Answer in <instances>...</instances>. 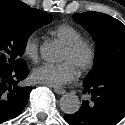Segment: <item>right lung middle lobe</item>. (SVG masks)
I'll return each mask as SVG.
<instances>
[{
  "label": "right lung middle lobe",
  "instance_id": "obj_1",
  "mask_svg": "<svg viewBox=\"0 0 125 125\" xmlns=\"http://www.w3.org/2000/svg\"><path fill=\"white\" fill-rule=\"evenodd\" d=\"M52 20V15L44 12H41L36 20L29 23L15 22L0 14V64L12 69L25 65V61L21 57L29 36Z\"/></svg>",
  "mask_w": 125,
  "mask_h": 125
}]
</instances>
